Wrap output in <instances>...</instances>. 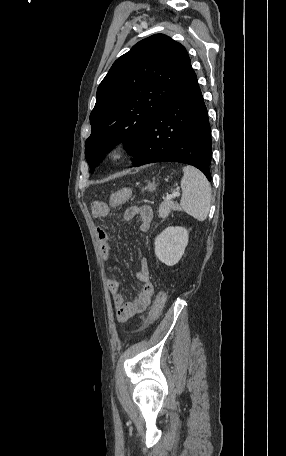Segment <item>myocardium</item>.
<instances>
[{"label": "myocardium", "instance_id": "f54148a6", "mask_svg": "<svg viewBox=\"0 0 286 456\" xmlns=\"http://www.w3.org/2000/svg\"><path fill=\"white\" fill-rule=\"evenodd\" d=\"M131 143L127 139H116L107 148V157L113 162L123 161L129 154Z\"/></svg>", "mask_w": 286, "mask_h": 456}]
</instances>
